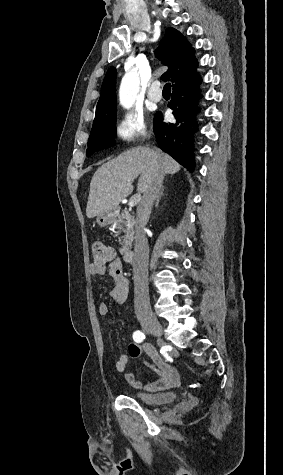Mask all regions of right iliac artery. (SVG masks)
<instances>
[{
    "instance_id": "obj_1",
    "label": "right iliac artery",
    "mask_w": 283,
    "mask_h": 475,
    "mask_svg": "<svg viewBox=\"0 0 283 475\" xmlns=\"http://www.w3.org/2000/svg\"><path fill=\"white\" fill-rule=\"evenodd\" d=\"M133 339L134 341L136 342H142L144 339H145V335L144 333L140 332V331H136L133 333Z\"/></svg>"
}]
</instances>
